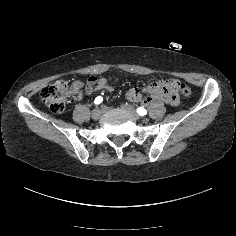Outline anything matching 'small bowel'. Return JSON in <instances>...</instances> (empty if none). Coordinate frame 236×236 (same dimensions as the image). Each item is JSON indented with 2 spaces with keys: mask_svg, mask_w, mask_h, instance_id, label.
<instances>
[{
  "mask_svg": "<svg viewBox=\"0 0 236 236\" xmlns=\"http://www.w3.org/2000/svg\"><path fill=\"white\" fill-rule=\"evenodd\" d=\"M172 85H174L176 87L174 82L172 83ZM74 87L77 91H79L78 98H81V96H82V93H81L82 84L80 82H76L74 84ZM102 89L109 90V91L111 90V87L108 85L106 79L105 78L97 79V78L92 77L86 83L84 91L87 94H91L96 90H102ZM127 96L131 100H138L139 99V91L135 88H132L128 91Z\"/></svg>",
  "mask_w": 236,
  "mask_h": 236,
  "instance_id": "obj_1",
  "label": "small bowel"
}]
</instances>
